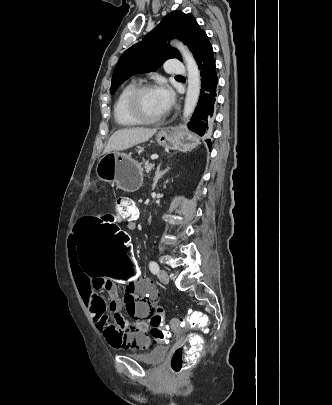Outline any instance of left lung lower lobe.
<instances>
[{"label": "left lung lower lobe", "mask_w": 332, "mask_h": 405, "mask_svg": "<svg viewBox=\"0 0 332 405\" xmlns=\"http://www.w3.org/2000/svg\"><path fill=\"white\" fill-rule=\"evenodd\" d=\"M201 74L200 98L189 123V129L200 136L207 135L215 116L216 87L218 78L211 44L207 45L196 59ZM208 146H211L207 139Z\"/></svg>", "instance_id": "obj_1"}]
</instances>
